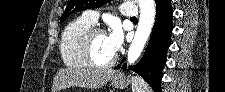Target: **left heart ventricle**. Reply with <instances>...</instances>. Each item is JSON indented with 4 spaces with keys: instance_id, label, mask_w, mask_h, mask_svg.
Wrapping results in <instances>:
<instances>
[{
    "instance_id": "obj_1",
    "label": "left heart ventricle",
    "mask_w": 225,
    "mask_h": 92,
    "mask_svg": "<svg viewBox=\"0 0 225 92\" xmlns=\"http://www.w3.org/2000/svg\"><path fill=\"white\" fill-rule=\"evenodd\" d=\"M91 51L94 60L99 64L107 63L114 57L106 33H98L95 35Z\"/></svg>"
}]
</instances>
